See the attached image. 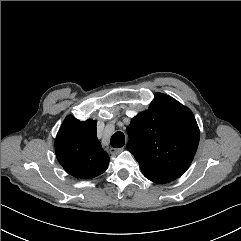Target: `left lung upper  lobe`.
Listing matches in <instances>:
<instances>
[{"mask_svg":"<svg viewBox=\"0 0 241 241\" xmlns=\"http://www.w3.org/2000/svg\"><path fill=\"white\" fill-rule=\"evenodd\" d=\"M127 133L128 151L143 175L158 184L173 181L188 169L200 138L191 110L162 93L131 120Z\"/></svg>","mask_w":241,"mask_h":241,"instance_id":"left-lung-upper-lobe-1","label":"left lung upper lobe"}]
</instances>
